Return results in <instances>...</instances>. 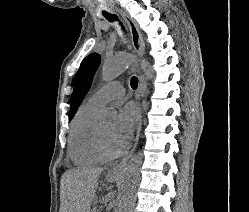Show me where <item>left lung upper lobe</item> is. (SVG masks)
I'll use <instances>...</instances> for the list:
<instances>
[{"label": "left lung upper lobe", "mask_w": 249, "mask_h": 212, "mask_svg": "<svg viewBox=\"0 0 249 212\" xmlns=\"http://www.w3.org/2000/svg\"><path fill=\"white\" fill-rule=\"evenodd\" d=\"M100 55L97 53L87 56L80 65V68L75 76L74 90L70 100L69 120L75 115L77 108L84 96L87 94L93 76L100 64Z\"/></svg>", "instance_id": "1"}]
</instances>
